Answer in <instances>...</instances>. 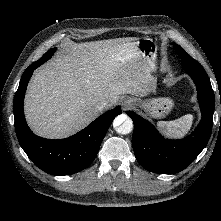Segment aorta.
<instances>
[{
  "label": "aorta",
  "mask_w": 221,
  "mask_h": 221,
  "mask_svg": "<svg viewBox=\"0 0 221 221\" xmlns=\"http://www.w3.org/2000/svg\"><path fill=\"white\" fill-rule=\"evenodd\" d=\"M113 126L119 134H129L133 130V121L126 114H121L115 118Z\"/></svg>",
  "instance_id": "obj_1"
}]
</instances>
